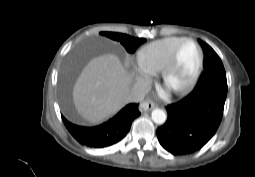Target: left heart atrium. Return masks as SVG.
Segmentation results:
<instances>
[{
  "label": "left heart atrium",
  "mask_w": 255,
  "mask_h": 177,
  "mask_svg": "<svg viewBox=\"0 0 255 177\" xmlns=\"http://www.w3.org/2000/svg\"><path fill=\"white\" fill-rule=\"evenodd\" d=\"M167 94V91L161 90V95L165 96Z\"/></svg>",
  "instance_id": "1"
}]
</instances>
